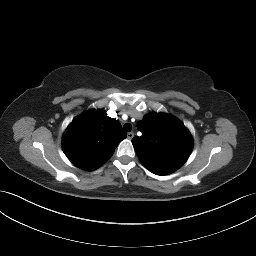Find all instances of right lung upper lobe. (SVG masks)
<instances>
[{
	"instance_id": "1",
	"label": "right lung upper lobe",
	"mask_w": 256,
	"mask_h": 256,
	"mask_svg": "<svg viewBox=\"0 0 256 256\" xmlns=\"http://www.w3.org/2000/svg\"><path fill=\"white\" fill-rule=\"evenodd\" d=\"M126 136L121 124L107 117L104 110H90L76 117L67 127L62 148L74 165L92 171L112 156Z\"/></svg>"
}]
</instances>
